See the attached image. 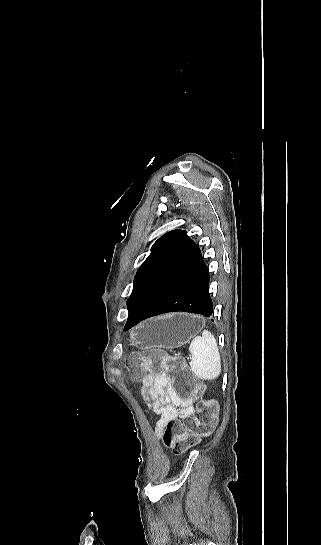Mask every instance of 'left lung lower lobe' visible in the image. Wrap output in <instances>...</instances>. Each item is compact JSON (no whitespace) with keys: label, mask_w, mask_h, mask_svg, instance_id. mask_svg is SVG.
Masks as SVG:
<instances>
[{"label":"left lung lower lobe","mask_w":321,"mask_h":545,"mask_svg":"<svg viewBox=\"0 0 321 545\" xmlns=\"http://www.w3.org/2000/svg\"><path fill=\"white\" fill-rule=\"evenodd\" d=\"M185 311L210 317L209 270L198 245L182 231L170 254L129 310L125 330L162 313Z\"/></svg>","instance_id":"1"}]
</instances>
